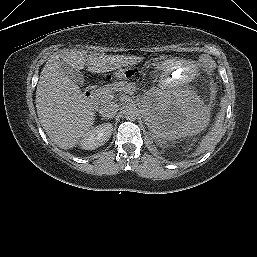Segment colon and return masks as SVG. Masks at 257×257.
Here are the masks:
<instances>
[{"label": "colon", "mask_w": 257, "mask_h": 257, "mask_svg": "<svg viewBox=\"0 0 257 257\" xmlns=\"http://www.w3.org/2000/svg\"><path fill=\"white\" fill-rule=\"evenodd\" d=\"M200 62L208 70H212L215 67V63L213 59L208 55H202L200 57ZM137 73H138L137 69L127 68V69L117 70L114 73H112V75H109V77L130 79L135 77Z\"/></svg>", "instance_id": "colon-1"}]
</instances>
